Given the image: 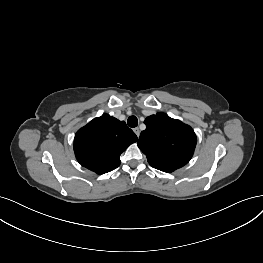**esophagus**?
<instances>
[{
	"mask_svg": "<svg viewBox=\"0 0 263 263\" xmlns=\"http://www.w3.org/2000/svg\"><path fill=\"white\" fill-rule=\"evenodd\" d=\"M134 133L137 135V137H139L140 135V129L138 127L133 129Z\"/></svg>",
	"mask_w": 263,
	"mask_h": 263,
	"instance_id": "34e87169",
	"label": "esophagus"
}]
</instances>
